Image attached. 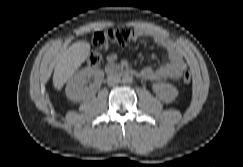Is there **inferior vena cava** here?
Segmentation results:
<instances>
[{
    "label": "inferior vena cava",
    "instance_id": "602c4592",
    "mask_svg": "<svg viewBox=\"0 0 243 167\" xmlns=\"http://www.w3.org/2000/svg\"><path fill=\"white\" fill-rule=\"evenodd\" d=\"M121 82L120 77L118 76H109L107 79V83L109 86H115Z\"/></svg>",
    "mask_w": 243,
    "mask_h": 167
}]
</instances>
